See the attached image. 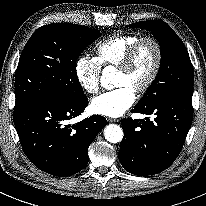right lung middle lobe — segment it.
<instances>
[{"label": "right lung middle lobe", "mask_w": 206, "mask_h": 206, "mask_svg": "<svg viewBox=\"0 0 206 206\" xmlns=\"http://www.w3.org/2000/svg\"><path fill=\"white\" fill-rule=\"evenodd\" d=\"M100 34L99 30L71 23H53L37 29L17 66L15 111L44 99L83 98L76 60Z\"/></svg>", "instance_id": "dd1d6c3e"}]
</instances>
